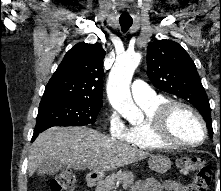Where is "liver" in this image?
<instances>
[{"mask_svg": "<svg viewBox=\"0 0 221 191\" xmlns=\"http://www.w3.org/2000/svg\"><path fill=\"white\" fill-rule=\"evenodd\" d=\"M151 156L149 152L87 127H52L34 141L28 158V174L45 160H57L67 167L104 173Z\"/></svg>", "mask_w": 221, "mask_h": 191, "instance_id": "1", "label": "liver"}]
</instances>
